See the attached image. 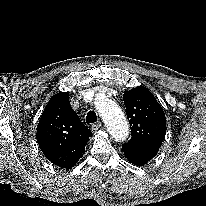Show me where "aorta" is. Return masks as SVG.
<instances>
[{"label": "aorta", "instance_id": "1", "mask_svg": "<svg viewBox=\"0 0 206 206\" xmlns=\"http://www.w3.org/2000/svg\"><path fill=\"white\" fill-rule=\"evenodd\" d=\"M97 109L104 119L109 133L116 141H124L129 133L128 122L115 101L103 96L96 102Z\"/></svg>", "mask_w": 206, "mask_h": 206}]
</instances>
